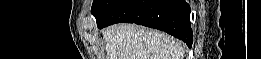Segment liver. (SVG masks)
Listing matches in <instances>:
<instances>
[{"label":"liver","mask_w":261,"mask_h":59,"mask_svg":"<svg viewBox=\"0 0 261 59\" xmlns=\"http://www.w3.org/2000/svg\"><path fill=\"white\" fill-rule=\"evenodd\" d=\"M102 34L107 59H183L182 42L157 30L116 24Z\"/></svg>","instance_id":"1"}]
</instances>
